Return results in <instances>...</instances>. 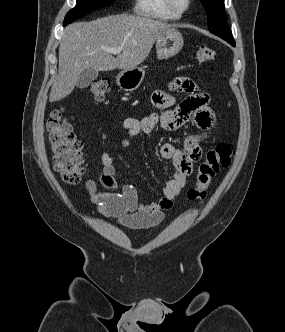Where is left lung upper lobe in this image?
<instances>
[{
	"label": "left lung upper lobe",
	"mask_w": 285,
	"mask_h": 332,
	"mask_svg": "<svg viewBox=\"0 0 285 332\" xmlns=\"http://www.w3.org/2000/svg\"><path fill=\"white\" fill-rule=\"evenodd\" d=\"M207 12L208 29L226 41H234L224 12V0H200Z\"/></svg>",
	"instance_id": "1"
}]
</instances>
